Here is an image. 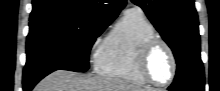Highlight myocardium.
<instances>
[{"label":"myocardium","mask_w":220,"mask_h":91,"mask_svg":"<svg viewBox=\"0 0 220 91\" xmlns=\"http://www.w3.org/2000/svg\"><path fill=\"white\" fill-rule=\"evenodd\" d=\"M162 46L168 52L170 59H171V74L169 79L166 82H158L153 79L148 70V60L151 53L154 51L155 48ZM137 69L140 76L149 84L158 86V87H165L170 85L173 80L175 79L177 73V60L175 53L172 47L164 40L154 37L146 41L140 47L137 55Z\"/></svg>","instance_id":"f54148a6"}]
</instances>
